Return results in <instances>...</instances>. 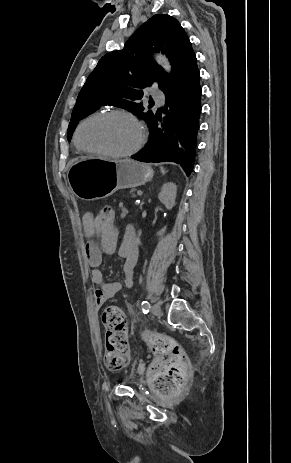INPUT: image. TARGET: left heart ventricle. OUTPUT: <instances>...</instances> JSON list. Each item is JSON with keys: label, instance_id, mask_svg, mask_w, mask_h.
Here are the masks:
<instances>
[{"label": "left heart ventricle", "instance_id": "left-heart-ventricle-1", "mask_svg": "<svg viewBox=\"0 0 291 463\" xmlns=\"http://www.w3.org/2000/svg\"><path fill=\"white\" fill-rule=\"evenodd\" d=\"M138 133L134 124L122 116L97 117L87 122L80 131V142L92 149L125 151L132 148Z\"/></svg>", "mask_w": 291, "mask_h": 463}]
</instances>
